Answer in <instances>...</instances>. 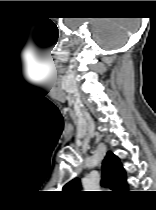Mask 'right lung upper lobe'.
<instances>
[{
  "instance_id": "obj_1",
  "label": "right lung upper lobe",
  "mask_w": 156,
  "mask_h": 210,
  "mask_svg": "<svg viewBox=\"0 0 156 210\" xmlns=\"http://www.w3.org/2000/svg\"><path fill=\"white\" fill-rule=\"evenodd\" d=\"M102 181L101 183L106 185L112 190H124L128 189L126 183V173L119 158L112 152H108L102 163ZM67 188L79 190L81 188V182L79 178H75L66 184Z\"/></svg>"
}]
</instances>
